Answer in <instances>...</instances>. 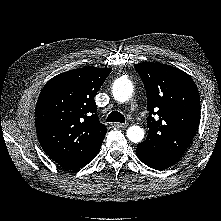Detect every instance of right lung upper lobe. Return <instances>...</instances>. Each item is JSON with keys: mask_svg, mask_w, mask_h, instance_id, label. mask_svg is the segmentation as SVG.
Segmentation results:
<instances>
[{"mask_svg": "<svg viewBox=\"0 0 221 221\" xmlns=\"http://www.w3.org/2000/svg\"><path fill=\"white\" fill-rule=\"evenodd\" d=\"M110 68L84 67L49 80L39 94L35 124L44 152L59 164H77L97 154L107 132L94 97Z\"/></svg>", "mask_w": 221, "mask_h": 221, "instance_id": "1", "label": "right lung upper lobe"}]
</instances>
